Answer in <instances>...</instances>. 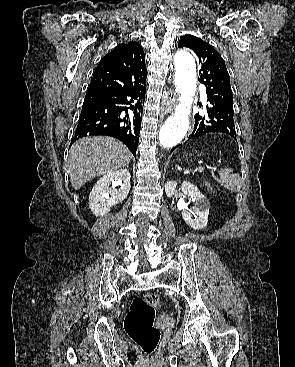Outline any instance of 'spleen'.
I'll list each match as a JSON object with an SVG mask.
<instances>
[{"instance_id":"3e777b00","label":"spleen","mask_w":295,"mask_h":367,"mask_svg":"<svg viewBox=\"0 0 295 367\" xmlns=\"http://www.w3.org/2000/svg\"><path fill=\"white\" fill-rule=\"evenodd\" d=\"M221 185L233 192L241 188V178L238 174H233V169L224 168L219 171Z\"/></svg>"}]
</instances>
